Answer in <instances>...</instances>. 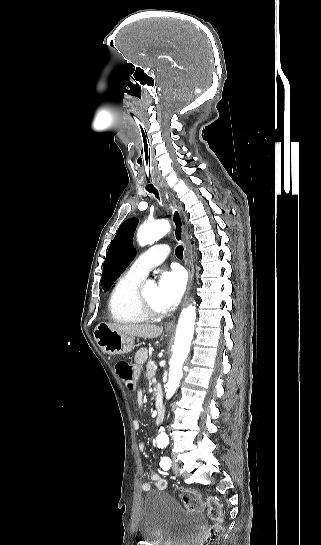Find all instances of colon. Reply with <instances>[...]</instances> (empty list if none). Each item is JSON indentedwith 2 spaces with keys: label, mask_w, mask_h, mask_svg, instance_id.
Listing matches in <instances>:
<instances>
[{
  "label": "colon",
  "mask_w": 321,
  "mask_h": 545,
  "mask_svg": "<svg viewBox=\"0 0 321 545\" xmlns=\"http://www.w3.org/2000/svg\"><path fill=\"white\" fill-rule=\"evenodd\" d=\"M115 371L125 384L126 388L132 390L134 387L132 366L126 361H119L115 365ZM180 491L183 503L189 510L200 511L203 508V504L196 491L186 488H182ZM206 506L208 517L215 524L209 529L203 545H216L221 534L220 523L223 518L222 508L218 500L214 497H209L207 499Z\"/></svg>",
  "instance_id": "obj_1"
}]
</instances>
